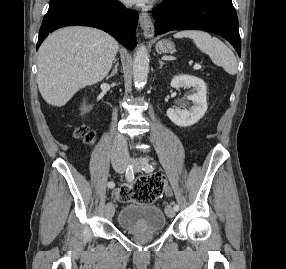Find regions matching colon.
I'll use <instances>...</instances> for the list:
<instances>
[{"mask_svg":"<svg viewBox=\"0 0 286 269\" xmlns=\"http://www.w3.org/2000/svg\"><path fill=\"white\" fill-rule=\"evenodd\" d=\"M75 136L86 143H92L95 138L94 132L85 126L76 128ZM165 183V177L161 174L139 176L131 185L116 187L112 192V197L119 202L150 203L161 194Z\"/></svg>","mask_w":286,"mask_h":269,"instance_id":"5ec220e1","label":"colon"}]
</instances>
